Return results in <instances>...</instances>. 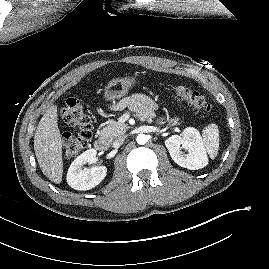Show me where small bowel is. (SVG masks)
I'll list each match as a JSON object with an SVG mask.
<instances>
[{
    "instance_id": "c3829d8e",
    "label": "small bowel",
    "mask_w": 269,
    "mask_h": 269,
    "mask_svg": "<svg viewBox=\"0 0 269 269\" xmlns=\"http://www.w3.org/2000/svg\"><path fill=\"white\" fill-rule=\"evenodd\" d=\"M117 106L122 108L127 107L136 112L143 119L152 117L157 109L156 102L142 93L130 95L120 101Z\"/></svg>"
}]
</instances>
